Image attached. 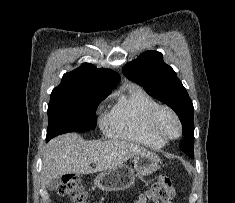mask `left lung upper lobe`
<instances>
[{
    "mask_svg": "<svg viewBox=\"0 0 235 203\" xmlns=\"http://www.w3.org/2000/svg\"><path fill=\"white\" fill-rule=\"evenodd\" d=\"M122 71L129 80L142 86L149 95L176 112L182 123V132L190 134L180 142L179 147L193 158V104L172 67L164 63L163 55L157 51H146L127 63Z\"/></svg>",
    "mask_w": 235,
    "mask_h": 203,
    "instance_id": "1",
    "label": "left lung upper lobe"
}]
</instances>
